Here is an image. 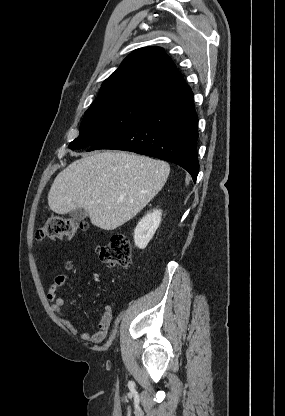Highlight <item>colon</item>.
I'll return each mask as SVG.
<instances>
[{"mask_svg": "<svg viewBox=\"0 0 285 416\" xmlns=\"http://www.w3.org/2000/svg\"><path fill=\"white\" fill-rule=\"evenodd\" d=\"M86 229V224L73 218L62 216L49 217L38 229L36 236L40 240L71 239ZM101 260L111 266L128 267L131 262V249L128 238L115 234L109 243L100 250Z\"/></svg>", "mask_w": 285, "mask_h": 416, "instance_id": "1", "label": "colon"}]
</instances>
